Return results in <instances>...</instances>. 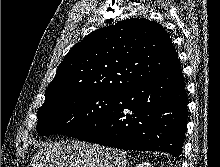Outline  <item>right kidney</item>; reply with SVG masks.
Returning <instances> with one entry per match:
<instances>
[{
  "label": "right kidney",
  "mask_w": 220,
  "mask_h": 167,
  "mask_svg": "<svg viewBox=\"0 0 220 167\" xmlns=\"http://www.w3.org/2000/svg\"><path fill=\"white\" fill-rule=\"evenodd\" d=\"M136 167H152L148 162H142L139 165H137Z\"/></svg>",
  "instance_id": "right-kidney-1"
}]
</instances>
